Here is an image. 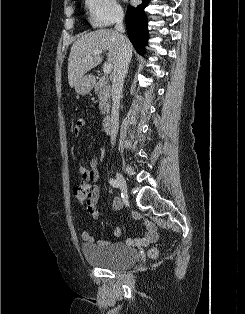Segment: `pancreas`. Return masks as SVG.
I'll list each match as a JSON object with an SVG mask.
<instances>
[{
	"mask_svg": "<svg viewBox=\"0 0 245 314\" xmlns=\"http://www.w3.org/2000/svg\"><path fill=\"white\" fill-rule=\"evenodd\" d=\"M94 90L99 99L100 113L104 115L110 107V85L104 77H99Z\"/></svg>",
	"mask_w": 245,
	"mask_h": 314,
	"instance_id": "pancreas-1",
	"label": "pancreas"
}]
</instances>
